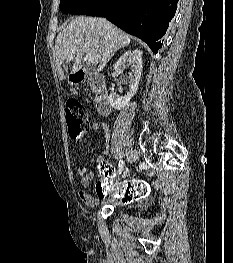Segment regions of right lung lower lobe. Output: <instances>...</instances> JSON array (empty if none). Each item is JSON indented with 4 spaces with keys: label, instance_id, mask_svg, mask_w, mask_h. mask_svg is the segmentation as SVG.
<instances>
[{
    "label": "right lung lower lobe",
    "instance_id": "obj_1",
    "mask_svg": "<svg viewBox=\"0 0 233 263\" xmlns=\"http://www.w3.org/2000/svg\"><path fill=\"white\" fill-rule=\"evenodd\" d=\"M177 3L178 0H100L86 15L106 17L157 53Z\"/></svg>",
    "mask_w": 233,
    "mask_h": 263
}]
</instances>
